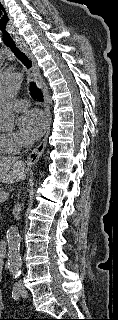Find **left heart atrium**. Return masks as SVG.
<instances>
[{
  "instance_id": "left-heart-atrium-1",
  "label": "left heart atrium",
  "mask_w": 118,
  "mask_h": 320,
  "mask_svg": "<svg viewBox=\"0 0 118 320\" xmlns=\"http://www.w3.org/2000/svg\"><path fill=\"white\" fill-rule=\"evenodd\" d=\"M19 128L27 141L37 140L47 128V118L38 109L29 110L20 118Z\"/></svg>"
}]
</instances>
